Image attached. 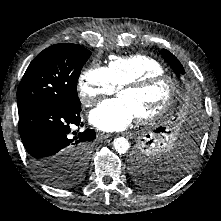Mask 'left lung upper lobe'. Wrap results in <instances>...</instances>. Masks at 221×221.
<instances>
[{"mask_svg":"<svg viewBox=\"0 0 221 221\" xmlns=\"http://www.w3.org/2000/svg\"><path fill=\"white\" fill-rule=\"evenodd\" d=\"M162 52L176 75L184 74V68L177 58L166 49ZM130 164L132 177L137 183L151 188H164L174 177V170L179 163L173 157H153L143 150H137L132 154Z\"/></svg>","mask_w":221,"mask_h":221,"instance_id":"1","label":"left lung upper lobe"}]
</instances>
